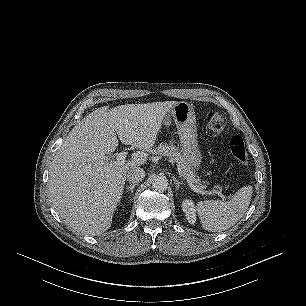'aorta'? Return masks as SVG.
<instances>
[{
	"instance_id": "obj_1",
	"label": "aorta",
	"mask_w": 306,
	"mask_h": 306,
	"mask_svg": "<svg viewBox=\"0 0 306 306\" xmlns=\"http://www.w3.org/2000/svg\"><path fill=\"white\" fill-rule=\"evenodd\" d=\"M168 187L167 178L164 175H158L152 180V188L157 192H164Z\"/></svg>"
}]
</instances>
